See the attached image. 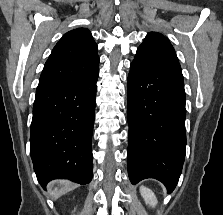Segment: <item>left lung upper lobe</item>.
I'll return each instance as SVG.
<instances>
[{"instance_id":"obj_1","label":"left lung upper lobe","mask_w":223,"mask_h":215,"mask_svg":"<svg viewBox=\"0 0 223 215\" xmlns=\"http://www.w3.org/2000/svg\"><path fill=\"white\" fill-rule=\"evenodd\" d=\"M133 63L183 80L175 50L169 40L160 33L147 34L137 49Z\"/></svg>"}]
</instances>
